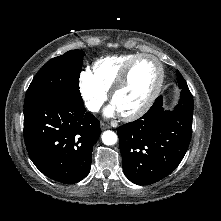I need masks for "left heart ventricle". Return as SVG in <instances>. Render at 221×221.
I'll use <instances>...</instances> for the list:
<instances>
[{"mask_svg": "<svg viewBox=\"0 0 221 221\" xmlns=\"http://www.w3.org/2000/svg\"><path fill=\"white\" fill-rule=\"evenodd\" d=\"M158 78L159 69L153 60H139L132 68L126 84L113 100L118 112L129 113L140 108L154 90Z\"/></svg>", "mask_w": 221, "mask_h": 221, "instance_id": "left-heart-ventricle-1", "label": "left heart ventricle"}]
</instances>
